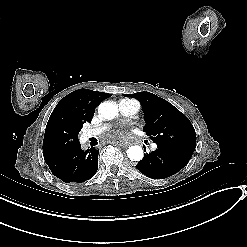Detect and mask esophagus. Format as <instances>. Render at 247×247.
Masks as SVG:
<instances>
[{"instance_id":"esophagus-1","label":"esophagus","mask_w":247,"mask_h":247,"mask_svg":"<svg viewBox=\"0 0 247 247\" xmlns=\"http://www.w3.org/2000/svg\"><path fill=\"white\" fill-rule=\"evenodd\" d=\"M123 147H128V142H123V144H121Z\"/></svg>"}]
</instances>
